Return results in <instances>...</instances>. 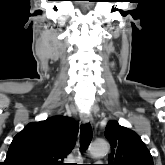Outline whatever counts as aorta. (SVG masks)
<instances>
[{"label": "aorta", "mask_w": 165, "mask_h": 165, "mask_svg": "<svg viewBox=\"0 0 165 165\" xmlns=\"http://www.w3.org/2000/svg\"><path fill=\"white\" fill-rule=\"evenodd\" d=\"M93 157H102L109 152V144L106 141H96L89 148Z\"/></svg>", "instance_id": "obj_1"}]
</instances>
